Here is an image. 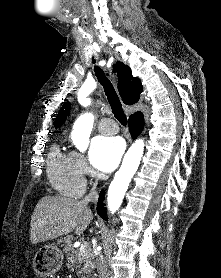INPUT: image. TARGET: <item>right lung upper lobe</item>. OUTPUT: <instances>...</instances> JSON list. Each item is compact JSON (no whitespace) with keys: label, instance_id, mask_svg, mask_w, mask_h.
Instances as JSON below:
<instances>
[{"label":"right lung upper lobe","instance_id":"obj_1","mask_svg":"<svg viewBox=\"0 0 221 278\" xmlns=\"http://www.w3.org/2000/svg\"><path fill=\"white\" fill-rule=\"evenodd\" d=\"M118 70V90L123 102L127 105H132L138 102L140 94L143 90L140 80L132 76L131 69L121 62H117ZM71 109L70 102L64 103L55 120V127H60ZM143 115L140 111L134 113L130 117Z\"/></svg>","mask_w":221,"mask_h":278}]
</instances>
